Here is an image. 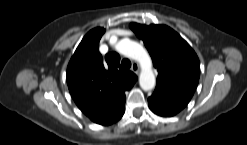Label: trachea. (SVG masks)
I'll list each match as a JSON object with an SVG mask.
<instances>
[{
	"instance_id": "1",
	"label": "trachea",
	"mask_w": 247,
	"mask_h": 145,
	"mask_svg": "<svg viewBox=\"0 0 247 145\" xmlns=\"http://www.w3.org/2000/svg\"><path fill=\"white\" fill-rule=\"evenodd\" d=\"M124 69H129L131 67V62L128 59H123L121 62Z\"/></svg>"
}]
</instances>
